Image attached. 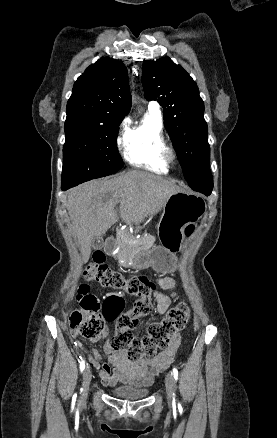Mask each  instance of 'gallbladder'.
<instances>
[{
	"label": "gallbladder",
	"instance_id": "1",
	"mask_svg": "<svg viewBox=\"0 0 277 438\" xmlns=\"http://www.w3.org/2000/svg\"><path fill=\"white\" fill-rule=\"evenodd\" d=\"M101 248H103L102 244H100V246H98L96 249L99 251Z\"/></svg>",
	"mask_w": 277,
	"mask_h": 438
}]
</instances>
